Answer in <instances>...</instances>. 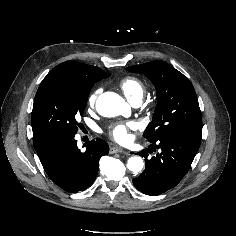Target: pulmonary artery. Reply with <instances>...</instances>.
I'll return each instance as SVG.
<instances>
[{
	"label": "pulmonary artery",
	"instance_id": "pulmonary-artery-1",
	"mask_svg": "<svg viewBox=\"0 0 236 236\" xmlns=\"http://www.w3.org/2000/svg\"><path fill=\"white\" fill-rule=\"evenodd\" d=\"M132 102V104L134 105V106H139L140 105V103H141V100H134V101H131Z\"/></svg>",
	"mask_w": 236,
	"mask_h": 236
}]
</instances>
